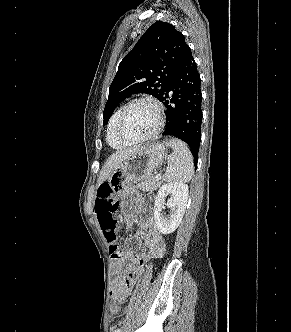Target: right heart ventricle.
Returning <instances> with one entry per match:
<instances>
[{
	"label": "right heart ventricle",
	"instance_id": "obj_1",
	"mask_svg": "<svg viewBox=\"0 0 291 332\" xmlns=\"http://www.w3.org/2000/svg\"><path fill=\"white\" fill-rule=\"evenodd\" d=\"M123 107L124 105H121L111 116L107 126V133H106L108 144L113 149L117 150L124 149L129 145L121 141L116 134V121Z\"/></svg>",
	"mask_w": 291,
	"mask_h": 332
}]
</instances>
